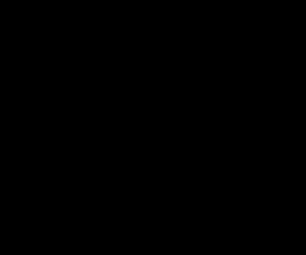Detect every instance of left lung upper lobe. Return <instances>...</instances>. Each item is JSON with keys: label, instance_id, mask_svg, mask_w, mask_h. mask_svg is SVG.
Returning <instances> with one entry per match:
<instances>
[{"label": "left lung upper lobe", "instance_id": "obj_1", "mask_svg": "<svg viewBox=\"0 0 306 255\" xmlns=\"http://www.w3.org/2000/svg\"><path fill=\"white\" fill-rule=\"evenodd\" d=\"M197 103L183 140L185 171H206L222 181L232 123L217 84L195 75Z\"/></svg>", "mask_w": 306, "mask_h": 255}]
</instances>
